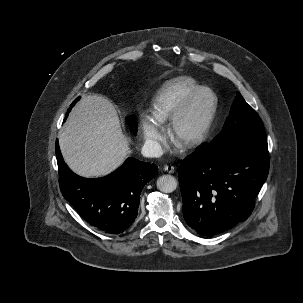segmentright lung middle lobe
<instances>
[{
  "mask_svg": "<svg viewBox=\"0 0 303 303\" xmlns=\"http://www.w3.org/2000/svg\"><path fill=\"white\" fill-rule=\"evenodd\" d=\"M80 99V97H78L70 106V108L68 109L67 113H66V118L68 116V113L70 112L71 108L73 107V105ZM65 118V119H66ZM128 124L130 125L131 127V130L136 133V129H137V126H136V121L132 118V117H129L128 120H127Z\"/></svg>",
  "mask_w": 303,
  "mask_h": 303,
  "instance_id": "right-lung-middle-lobe-1",
  "label": "right lung middle lobe"
}]
</instances>
